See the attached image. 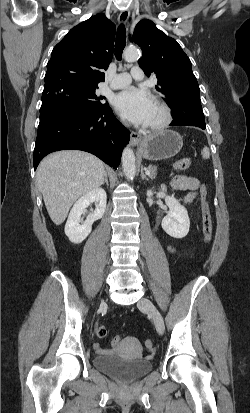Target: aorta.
Returning a JSON list of instances; mask_svg holds the SVG:
<instances>
[{"label": "aorta", "instance_id": "762f6f07", "mask_svg": "<svg viewBox=\"0 0 250 413\" xmlns=\"http://www.w3.org/2000/svg\"><path fill=\"white\" fill-rule=\"evenodd\" d=\"M140 57V52L136 48H127L124 51V58L128 62H134ZM123 171L128 180H133L135 177L136 165L135 155L132 149L126 147L122 153Z\"/></svg>", "mask_w": 250, "mask_h": 413}]
</instances>
